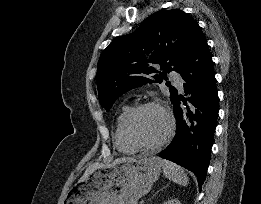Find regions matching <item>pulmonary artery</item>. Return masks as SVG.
I'll return each instance as SVG.
<instances>
[{
    "mask_svg": "<svg viewBox=\"0 0 261 204\" xmlns=\"http://www.w3.org/2000/svg\"><path fill=\"white\" fill-rule=\"evenodd\" d=\"M170 77L176 83V85L178 86L179 89L183 88V79L179 74L172 72L170 74Z\"/></svg>",
    "mask_w": 261,
    "mask_h": 204,
    "instance_id": "1",
    "label": "pulmonary artery"
}]
</instances>
